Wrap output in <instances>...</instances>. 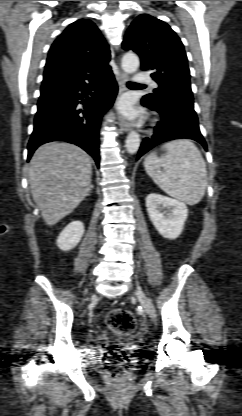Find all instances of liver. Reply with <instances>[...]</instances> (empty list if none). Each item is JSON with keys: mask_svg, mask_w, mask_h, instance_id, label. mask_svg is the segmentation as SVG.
<instances>
[{"mask_svg": "<svg viewBox=\"0 0 242 416\" xmlns=\"http://www.w3.org/2000/svg\"><path fill=\"white\" fill-rule=\"evenodd\" d=\"M91 157L67 142L40 146L30 160L29 185L45 223L71 213L93 188Z\"/></svg>", "mask_w": 242, "mask_h": 416, "instance_id": "1", "label": "liver"}]
</instances>
